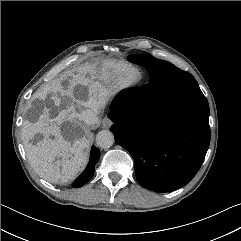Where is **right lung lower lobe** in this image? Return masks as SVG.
Instances as JSON below:
<instances>
[{
	"mask_svg": "<svg viewBox=\"0 0 241 241\" xmlns=\"http://www.w3.org/2000/svg\"><path fill=\"white\" fill-rule=\"evenodd\" d=\"M99 158V149L93 146L90 153V161L84 172L75 180L73 187L79 188L86 184L92 178L94 174L95 164L98 162Z\"/></svg>",
	"mask_w": 241,
	"mask_h": 241,
	"instance_id": "98d812e1",
	"label": "right lung lower lobe"
}]
</instances>
